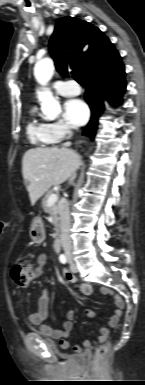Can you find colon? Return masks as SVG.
<instances>
[{"label": "colon", "mask_w": 145, "mask_h": 385, "mask_svg": "<svg viewBox=\"0 0 145 385\" xmlns=\"http://www.w3.org/2000/svg\"><path fill=\"white\" fill-rule=\"evenodd\" d=\"M34 266L30 262H18L12 268L13 280L22 287H26L34 276ZM109 343H104L96 350L95 364L100 365L109 352Z\"/></svg>", "instance_id": "obj_1"}]
</instances>
